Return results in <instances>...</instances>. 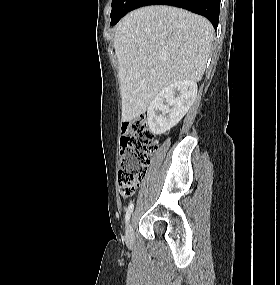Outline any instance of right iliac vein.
Segmentation results:
<instances>
[{
	"label": "right iliac vein",
	"instance_id": "1",
	"mask_svg": "<svg viewBox=\"0 0 280 285\" xmlns=\"http://www.w3.org/2000/svg\"><path fill=\"white\" fill-rule=\"evenodd\" d=\"M126 240L129 244H132L133 242V227H132V224L129 222L127 223V226H126Z\"/></svg>",
	"mask_w": 280,
	"mask_h": 285
}]
</instances>
